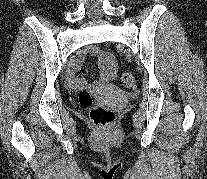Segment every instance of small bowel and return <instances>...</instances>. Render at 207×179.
Masks as SVG:
<instances>
[{
	"label": "small bowel",
	"mask_w": 207,
	"mask_h": 179,
	"mask_svg": "<svg viewBox=\"0 0 207 179\" xmlns=\"http://www.w3.org/2000/svg\"><path fill=\"white\" fill-rule=\"evenodd\" d=\"M86 53L97 57L100 78L95 82H88L86 79L78 78L76 73L82 65V60L78 59L71 68L68 76L67 83L69 87L73 89L97 90L108 85L116 78L118 64L116 58L110 52L96 46H91L86 49Z\"/></svg>",
	"instance_id": "c3829d8e"
}]
</instances>
